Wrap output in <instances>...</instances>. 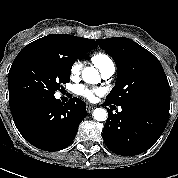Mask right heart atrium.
<instances>
[{
	"mask_svg": "<svg viewBox=\"0 0 178 178\" xmlns=\"http://www.w3.org/2000/svg\"><path fill=\"white\" fill-rule=\"evenodd\" d=\"M81 70V63L79 61H76L72 64L70 69V75L72 78L77 77Z\"/></svg>",
	"mask_w": 178,
	"mask_h": 178,
	"instance_id": "obj_1",
	"label": "right heart atrium"
}]
</instances>
